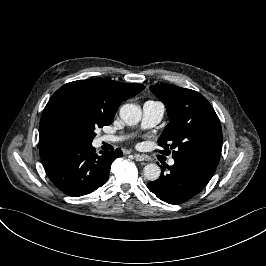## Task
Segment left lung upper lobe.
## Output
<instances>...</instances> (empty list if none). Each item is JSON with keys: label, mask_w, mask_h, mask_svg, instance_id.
I'll use <instances>...</instances> for the list:
<instances>
[{"label": "left lung upper lobe", "mask_w": 266, "mask_h": 266, "mask_svg": "<svg viewBox=\"0 0 266 266\" xmlns=\"http://www.w3.org/2000/svg\"><path fill=\"white\" fill-rule=\"evenodd\" d=\"M150 90L165 104L171 119L158 139L159 146L175 149L173 158H193L217 166L222 129L208 100L199 92L170 84L151 85Z\"/></svg>", "instance_id": "left-lung-upper-lobe-1"}]
</instances>
